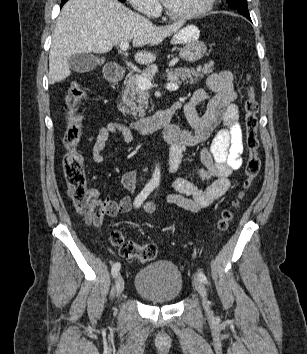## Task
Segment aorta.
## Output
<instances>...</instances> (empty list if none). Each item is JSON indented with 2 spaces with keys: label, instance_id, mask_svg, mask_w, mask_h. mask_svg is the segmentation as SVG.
I'll return each instance as SVG.
<instances>
[{
  "label": "aorta",
  "instance_id": "obj_1",
  "mask_svg": "<svg viewBox=\"0 0 307 354\" xmlns=\"http://www.w3.org/2000/svg\"><path fill=\"white\" fill-rule=\"evenodd\" d=\"M160 178H161V171H160V166L158 164V165H156V167L153 171L150 183L157 186L160 183Z\"/></svg>",
  "mask_w": 307,
  "mask_h": 354
}]
</instances>
